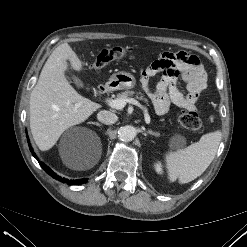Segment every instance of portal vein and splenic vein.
<instances>
[{
  "mask_svg": "<svg viewBox=\"0 0 247 247\" xmlns=\"http://www.w3.org/2000/svg\"><path fill=\"white\" fill-rule=\"evenodd\" d=\"M105 102L112 108L114 109H122L125 107L126 103H132L134 105L139 106L141 109H143L144 111V117H145V122L147 124L150 123V116L148 114V110L143 107L140 103H138V101H136L135 99L131 98V99H105Z\"/></svg>",
  "mask_w": 247,
  "mask_h": 247,
  "instance_id": "obj_1",
  "label": "portal vein and splenic vein"
}]
</instances>
